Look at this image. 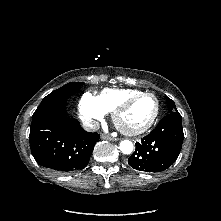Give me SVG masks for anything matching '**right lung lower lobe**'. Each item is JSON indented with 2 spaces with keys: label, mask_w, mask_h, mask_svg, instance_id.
Instances as JSON below:
<instances>
[{
  "label": "right lung lower lobe",
  "mask_w": 221,
  "mask_h": 221,
  "mask_svg": "<svg viewBox=\"0 0 221 221\" xmlns=\"http://www.w3.org/2000/svg\"><path fill=\"white\" fill-rule=\"evenodd\" d=\"M99 137L68 118L63 101L35 111L29 140L31 153L40 165L70 173L86 167Z\"/></svg>",
  "instance_id": "1"
}]
</instances>
